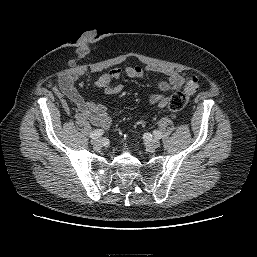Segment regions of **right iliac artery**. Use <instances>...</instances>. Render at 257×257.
I'll use <instances>...</instances> for the list:
<instances>
[{
    "mask_svg": "<svg viewBox=\"0 0 257 257\" xmlns=\"http://www.w3.org/2000/svg\"><path fill=\"white\" fill-rule=\"evenodd\" d=\"M102 134H103V130L95 129L90 132V138L96 139V138L100 137Z\"/></svg>",
    "mask_w": 257,
    "mask_h": 257,
    "instance_id": "82829eb1",
    "label": "right iliac artery"
}]
</instances>
